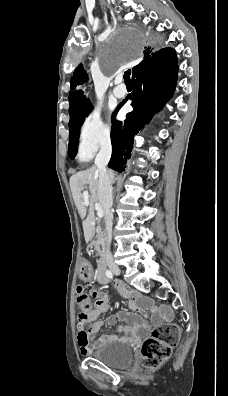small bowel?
<instances>
[{"instance_id": "c3829d8e", "label": "small bowel", "mask_w": 228, "mask_h": 396, "mask_svg": "<svg viewBox=\"0 0 228 396\" xmlns=\"http://www.w3.org/2000/svg\"><path fill=\"white\" fill-rule=\"evenodd\" d=\"M80 271L82 276L85 278L90 277L92 274V268L87 261H83ZM98 280L101 284L108 282L105 274H103V278H100L98 275ZM115 288L119 295L128 299L129 307L135 312L120 311L108 319L95 321L100 314L106 312L109 309L111 306V301L106 293L97 290H91V295L95 299V309L90 314L89 319L95 322L88 330L79 326L77 335L78 345L83 354L88 353L92 346L115 340L126 339L130 335H142L148 329L144 314L151 307L150 301L139 294L130 292L120 282H115ZM161 315L165 316V312L162 311ZM117 320L125 322V324L120 325L117 328V331L123 333L124 336L117 337L112 335H98V332L102 326L113 324Z\"/></svg>"}]
</instances>
